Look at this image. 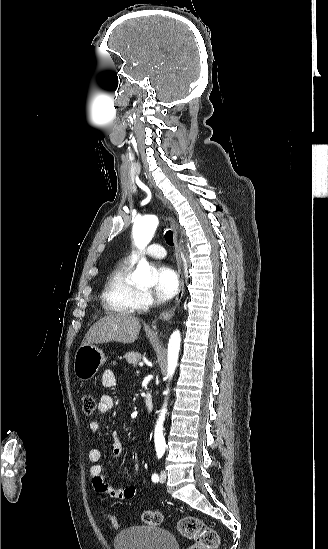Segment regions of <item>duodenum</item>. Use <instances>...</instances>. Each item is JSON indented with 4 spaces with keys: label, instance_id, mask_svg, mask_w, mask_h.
<instances>
[{
    "label": "duodenum",
    "instance_id": "410a0bca",
    "mask_svg": "<svg viewBox=\"0 0 328 549\" xmlns=\"http://www.w3.org/2000/svg\"><path fill=\"white\" fill-rule=\"evenodd\" d=\"M144 403H145V407L146 409L151 412L154 408V401H153V397L150 393H146L144 395Z\"/></svg>",
    "mask_w": 328,
    "mask_h": 549
}]
</instances>
